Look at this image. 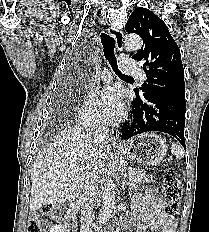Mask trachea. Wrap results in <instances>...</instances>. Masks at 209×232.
Masks as SVG:
<instances>
[{
	"label": "trachea",
	"instance_id": "trachea-1",
	"mask_svg": "<svg viewBox=\"0 0 209 232\" xmlns=\"http://www.w3.org/2000/svg\"><path fill=\"white\" fill-rule=\"evenodd\" d=\"M101 43L104 49V56L109 61L113 71L116 75H118L120 78L124 79H133L130 76L122 74L117 67V61L114 54V48H115V40L113 37L106 33H101Z\"/></svg>",
	"mask_w": 209,
	"mask_h": 232
}]
</instances>
